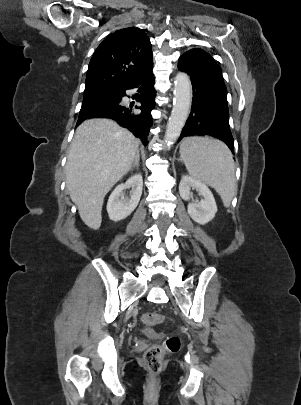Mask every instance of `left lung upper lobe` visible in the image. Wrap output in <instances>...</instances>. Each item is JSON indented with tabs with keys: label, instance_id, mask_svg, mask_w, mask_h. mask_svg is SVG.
<instances>
[{
	"label": "left lung upper lobe",
	"instance_id": "left-lung-upper-lobe-1",
	"mask_svg": "<svg viewBox=\"0 0 301 405\" xmlns=\"http://www.w3.org/2000/svg\"><path fill=\"white\" fill-rule=\"evenodd\" d=\"M186 53L202 54V55H205V56H207V57L213 59V58L211 57V55H209L207 52H205V51H203L202 49H199V48L191 49V50H189V51L186 52ZM213 60H214V59H213ZM215 63H216V62H215Z\"/></svg>",
	"mask_w": 301,
	"mask_h": 405
}]
</instances>
